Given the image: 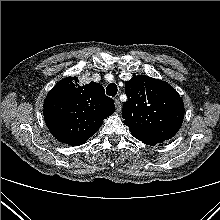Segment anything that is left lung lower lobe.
<instances>
[{"instance_id":"obj_1","label":"left lung lower lobe","mask_w":220,"mask_h":220,"mask_svg":"<svg viewBox=\"0 0 220 220\" xmlns=\"http://www.w3.org/2000/svg\"><path fill=\"white\" fill-rule=\"evenodd\" d=\"M138 140L142 141L143 143L150 145V146H154L156 144H160L163 143V141H155V140H151V139H142V138H137Z\"/></svg>"}]
</instances>
